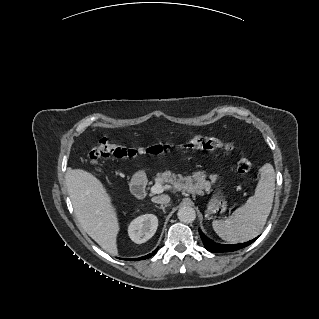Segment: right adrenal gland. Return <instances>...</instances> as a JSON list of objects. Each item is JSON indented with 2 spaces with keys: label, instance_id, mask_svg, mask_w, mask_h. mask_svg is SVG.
Masks as SVG:
<instances>
[{
  "label": "right adrenal gland",
  "instance_id": "right-adrenal-gland-1",
  "mask_svg": "<svg viewBox=\"0 0 319 319\" xmlns=\"http://www.w3.org/2000/svg\"><path fill=\"white\" fill-rule=\"evenodd\" d=\"M167 206H168V205H164V206H163V205H161V206H157V205H155V207H156V208H158V209H162V210H163V212H165V210H164V209H165Z\"/></svg>",
  "mask_w": 319,
  "mask_h": 319
}]
</instances>
